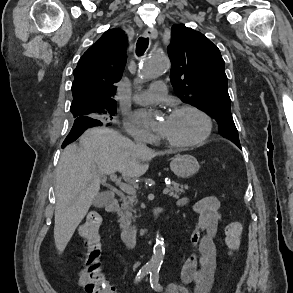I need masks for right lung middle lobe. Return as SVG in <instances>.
I'll return each instance as SVG.
<instances>
[{"label": "right lung middle lobe", "mask_w": 293, "mask_h": 293, "mask_svg": "<svg viewBox=\"0 0 293 293\" xmlns=\"http://www.w3.org/2000/svg\"><path fill=\"white\" fill-rule=\"evenodd\" d=\"M71 112L74 118H77L79 116V114H77L75 110L72 109ZM90 112L95 113L94 117L96 119H99L101 121H107V120H112V116L115 115L116 108H115V104L113 105L108 104L96 109H92L90 110Z\"/></svg>", "instance_id": "obj_1"}]
</instances>
